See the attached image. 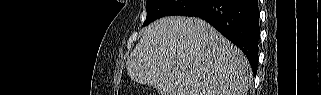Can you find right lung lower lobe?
Wrapping results in <instances>:
<instances>
[{
    "label": "right lung lower lobe",
    "instance_id": "obj_1",
    "mask_svg": "<svg viewBox=\"0 0 321 95\" xmlns=\"http://www.w3.org/2000/svg\"><path fill=\"white\" fill-rule=\"evenodd\" d=\"M258 0H207L189 16L209 22L246 55L256 74L259 29Z\"/></svg>",
    "mask_w": 321,
    "mask_h": 95
}]
</instances>
